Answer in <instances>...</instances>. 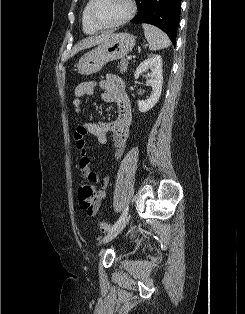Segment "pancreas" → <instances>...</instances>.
<instances>
[{
  "mask_svg": "<svg viewBox=\"0 0 245 314\" xmlns=\"http://www.w3.org/2000/svg\"><path fill=\"white\" fill-rule=\"evenodd\" d=\"M127 66H128V60L126 59H121L119 68H120V73L123 74L127 71Z\"/></svg>",
  "mask_w": 245,
  "mask_h": 314,
  "instance_id": "obj_1",
  "label": "pancreas"
}]
</instances>
